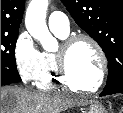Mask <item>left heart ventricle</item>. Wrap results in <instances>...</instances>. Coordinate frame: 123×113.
<instances>
[{"label": "left heart ventricle", "mask_w": 123, "mask_h": 113, "mask_svg": "<svg viewBox=\"0 0 123 113\" xmlns=\"http://www.w3.org/2000/svg\"><path fill=\"white\" fill-rule=\"evenodd\" d=\"M67 68L71 80L84 87H92L99 75L100 60L94 47L86 42H77L67 57Z\"/></svg>", "instance_id": "b2bd125f"}]
</instances>
